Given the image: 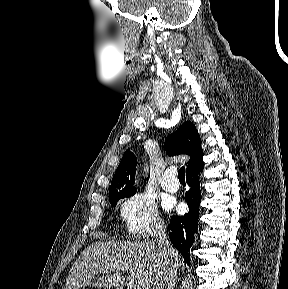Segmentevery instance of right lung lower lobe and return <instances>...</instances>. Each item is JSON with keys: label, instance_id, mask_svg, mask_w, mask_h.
<instances>
[{"label": "right lung lower lobe", "instance_id": "obj_1", "mask_svg": "<svg viewBox=\"0 0 288 289\" xmlns=\"http://www.w3.org/2000/svg\"><path fill=\"white\" fill-rule=\"evenodd\" d=\"M203 167L204 163L201 160L187 171L186 180L190 190L186 192V200L189 212L184 216H172L170 220V240L183 255L187 264H190L189 251L194 242V233L198 229L197 221L201 202L198 174L203 170Z\"/></svg>", "mask_w": 288, "mask_h": 289}]
</instances>
